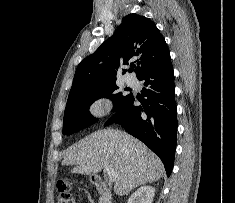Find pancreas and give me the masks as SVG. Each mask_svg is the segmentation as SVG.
Instances as JSON below:
<instances>
[{"label":"pancreas","mask_w":235,"mask_h":203,"mask_svg":"<svg viewBox=\"0 0 235 203\" xmlns=\"http://www.w3.org/2000/svg\"><path fill=\"white\" fill-rule=\"evenodd\" d=\"M99 203H103V198L102 197L99 199Z\"/></svg>","instance_id":"obj_1"}]
</instances>
